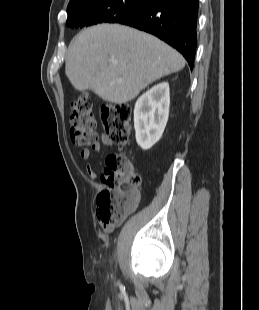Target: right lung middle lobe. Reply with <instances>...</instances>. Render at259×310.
Here are the masks:
<instances>
[{"instance_id": "obj_1", "label": "right lung middle lobe", "mask_w": 259, "mask_h": 310, "mask_svg": "<svg viewBox=\"0 0 259 310\" xmlns=\"http://www.w3.org/2000/svg\"><path fill=\"white\" fill-rule=\"evenodd\" d=\"M151 0H101L90 5L67 9L66 25L72 28L98 23H117L146 7Z\"/></svg>"}]
</instances>
